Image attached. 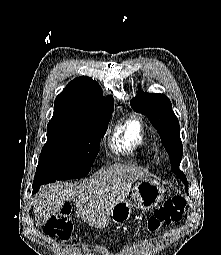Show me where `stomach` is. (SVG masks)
<instances>
[{"mask_svg": "<svg viewBox=\"0 0 221 255\" xmlns=\"http://www.w3.org/2000/svg\"><path fill=\"white\" fill-rule=\"evenodd\" d=\"M165 189L156 180L140 178L131 192V199L118 202L110 213V220L116 224L128 222L134 208L148 211L157 206L164 198Z\"/></svg>", "mask_w": 221, "mask_h": 255, "instance_id": "0dacf381", "label": "stomach"}]
</instances>
